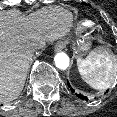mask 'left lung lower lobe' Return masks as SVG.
<instances>
[{
	"mask_svg": "<svg viewBox=\"0 0 117 117\" xmlns=\"http://www.w3.org/2000/svg\"><path fill=\"white\" fill-rule=\"evenodd\" d=\"M67 85L69 86V88L71 89V91L74 93V90H73V88H71V86H70V84H69L68 81H67ZM106 92H107V91H106ZM77 96H78L79 98H81V99L88 100L87 97H85V96H83V95H81V94H77Z\"/></svg>",
	"mask_w": 117,
	"mask_h": 117,
	"instance_id": "0a47b994",
	"label": "left lung lower lobe"
}]
</instances>
